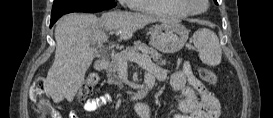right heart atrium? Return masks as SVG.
Returning <instances> with one entry per match:
<instances>
[{
    "label": "right heart atrium",
    "mask_w": 273,
    "mask_h": 118,
    "mask_svg": "<svg viewBox=\"0 0 273 118\" xmlns=\"http://www.w3.org/2000/svg\"><path fill=\"white\" fill-rule=\"evenodd\" d=\"M121 3L122 4H128V3H130V1L129 0H121Z\"/></svg>",
    "instance_id": "right-heart-atrium-1"
}]
</instances>
